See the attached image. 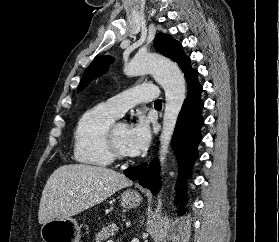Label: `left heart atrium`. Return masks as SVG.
Masks as SVG:
<instances>
[{"label": "left heart atrium", "mask_w": 279, "mask_h": 242, "mask_svg": "<svg viewBox=\"0 0 279 242\" xmlns=\"http://www.w3.org/2000/svg\"><path fill=\"white\" fill-rule=\"evenodd\" d=\"M151 133L148 121L139 117L135 124L130 127L126 150L128 155L137 156L143 153L149 146Z\"/></svg>", "instance_id": "1"}]
</instances>
